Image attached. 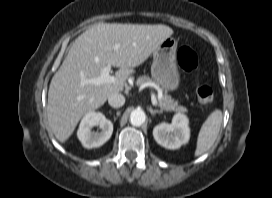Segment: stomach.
<instances>
[{"instance_id": "0dacf381", "label": "stomach", "mask_w": 272, "mask_h": 198, "mask_svg": "<svg viewBox=\"0 0 272 198\" xmlns=\"http://www.w3.org/2000/svg\"><path fill=\"white\" fill-rule=\"evenodd\" d=\"M177 41L169 37L153 52L151 75L166 91L175 90L180 81L176 64Z\"/></svg>"}]
</instances>
